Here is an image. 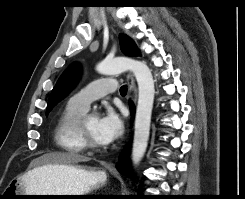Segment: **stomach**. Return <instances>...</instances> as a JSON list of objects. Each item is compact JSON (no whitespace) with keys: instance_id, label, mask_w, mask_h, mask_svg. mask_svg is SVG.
<instances>
[{"instance_id":"stomach-1","label":"stomach","mask_w":245,"mask_h":199,"mask_svg":"<svg viewBox=\"0 0 245 199\" xmlns=\"http://www.w3.org/2000/svg\"><path fill=\"white\" fill-rule=\"evenodd\" d=\"M107 174L98 169H88L80 165L41 166L13 180L7 186L14 195H86V193L104 184ZM20 199L23 196H14ZM27 198V197H26ZM75 198V197H39L36 199Z\"/></svg>"}]
</instances>
